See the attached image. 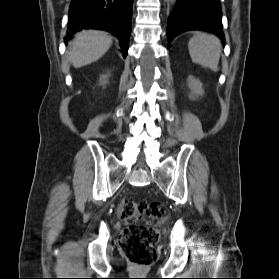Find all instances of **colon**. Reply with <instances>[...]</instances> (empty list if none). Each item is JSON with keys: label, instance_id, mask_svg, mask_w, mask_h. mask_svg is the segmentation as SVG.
I'll return each mask as SVG.
<instances>
[{"label": "colon", "instance_id": "5ec220e1", "mask_svg": "<svg viewBox=\"0 0 279 279\" xmlns=\"http://www.w3.org/2000/svg\"><path fill=\"white\" fill-rule=\"evenodd\" d=\"M126 227L120 234L119 247L124 257L138 266L156 261L159 231L152 225L164 215L163 205L157 202L125 200L119 207Z\"/></svg>", "mask_w": 279, "mask_h": 279}]
</instances>
